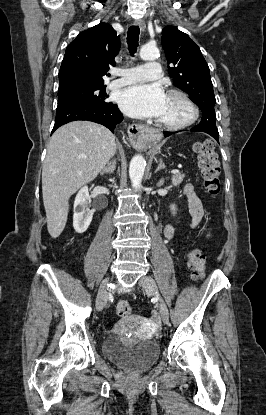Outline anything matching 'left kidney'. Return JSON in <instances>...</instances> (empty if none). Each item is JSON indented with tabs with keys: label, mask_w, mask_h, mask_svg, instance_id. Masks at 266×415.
<instances>
[{
	"label": "left kidney",
	"mask_w": 266,
	"mask_h": 415,
	"mask_svg": "<svg viewBox=\"0 0 266 415\" xmlns=\"http://www.w3.org/2000/svg\"><path fill=\"white\" fill-rule=\"evenodd\" d=\"M171 210L173 211V213H175V210H176L175 205H171Z\"/></svg>",
	"instance_id": "obj_1"
}]
</instances>
